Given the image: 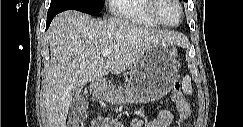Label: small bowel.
<instances>
[{
    "label": "small bowel",
    "mask_w": 243,
    "mask_h": 127,
    "mask_svg": "<svg viewBox=\"0 0 243 127\" xmlns=\"http://www.w3.org/2000/svg\"><path fill=\"white\" fill-rule=\"evenodd\" d=\"M175 106L178 111L177 125L183 124L190 116V106L184 100L182 102L175 101ZM173 114L167 109H163L158 113V116L148 123V127H170L173 126ZM119 123L109 121L104 118H98L93 121L92 127H120Z\"/></svg>",
    "instance_id": "1"
}]
</instances>
